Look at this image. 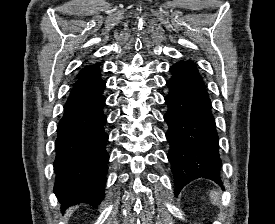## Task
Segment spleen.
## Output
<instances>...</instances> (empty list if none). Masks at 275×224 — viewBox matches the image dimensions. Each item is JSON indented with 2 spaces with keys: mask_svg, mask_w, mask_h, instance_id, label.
Returning a JSON list of instances; mask_svg holds the SVG:
<instances>
[{
  "mask_svg": "<svg viewBox=\"0 0 275 224\" xmlns=\"http://www.w3.org/2000/svg\"><path fill=\"white\" fill-rule=\"evenodd\" d=\"M219 194L216 192V191H212L211 193H210V197H211V199H212V203L214 204V205H216L217 203H218V200H219V196H218Z\"/></svg>",
  "mask_w": 275,
  "mask_h": 224,
  "instance_id": "3e777b00",
  "label": "spleen"
}]
</instances>
